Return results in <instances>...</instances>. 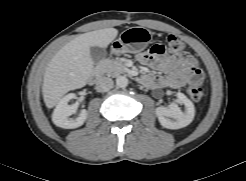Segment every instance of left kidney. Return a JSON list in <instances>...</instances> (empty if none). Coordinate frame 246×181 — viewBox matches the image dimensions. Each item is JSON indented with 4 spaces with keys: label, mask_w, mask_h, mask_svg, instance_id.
<instances>
[{
    "label": "left kidney",
    "mask_w": 246,
    "mask_h": 181,
    "mask_svg": "<svg viewBox=\"0 0 246 181\" xmlns=\"http://www.w3.org/2000/svg\"><path fill=\"white\" fill-rule=\"evenodd\" d=\"M177 102L185 106V112L180 107L172 103L167 107H158L155 110L160 124L167 129H180L188 126L194 119L195 107L183 93H177Z\"/></svg>",
    "instance_id": "1"
}]
</instances>
